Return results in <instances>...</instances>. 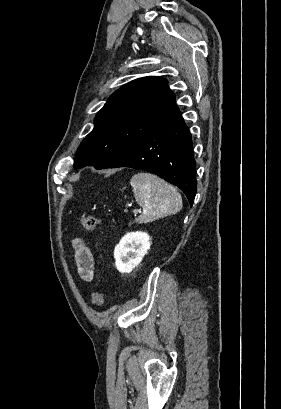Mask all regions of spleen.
<instances>
[{
	"label": "spleen",
	"mask_w": 281,
	"mask_h": 409,
	"mask_svg": "<svg viewBox=\"0 0 281 409\" xmlns=\"http://www.w3.org/2000/svg\"><path fill=\"white\" fill-rule=\"evenodd\" d=\"M134 196L144 213L136 223H151L182 209V196L175 186L150 172H138L130 180Z\"/></svg>",
	"instance_id": "obj_1"
}]
</instances>
